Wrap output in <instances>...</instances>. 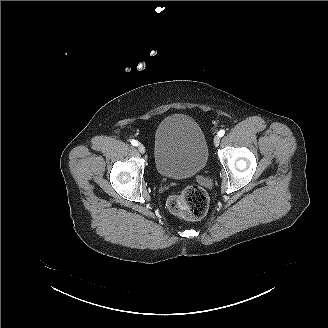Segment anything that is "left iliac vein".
I'll return each mask as SVG.
<instances>
[{
  "mask_svg": "<svg viewBox=\"0 0 328 328\" xmlns=\"http://www.w3.org/2000/svg\"><path fill=\"white\" fill-rule=\"evenodd\" d=\"M214 145L218 146L220 143V136L219 135H215L214 139H213Z\"/></svg>",
  "mask_w": 328,
  "mask_h": 328,
  "instance_id": "obj_1",
  "label": "left iliac vein"
}]
</instances>
